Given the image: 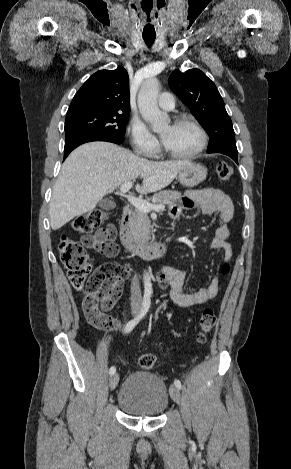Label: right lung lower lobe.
Wrapping results in <instances>:
<instances>
[{"label":"right lung lower lobe","instance_id":"1","mask_svg":"<svg viewBox=\"0 0 291 469\" xmlns=\"http://www.w3.org/2000/svg\"><path fill=\"white\" fill-rule=\"evenodd\" d=\"M91 141H107L115 144H122L124 142V137L118 136H108L100 134H79L66 137L65 147H64V159L69 155V153L78 147L79 145L91 142Z\"/></svg>","mask_w":291,"mask_h":469}]
</instances>
